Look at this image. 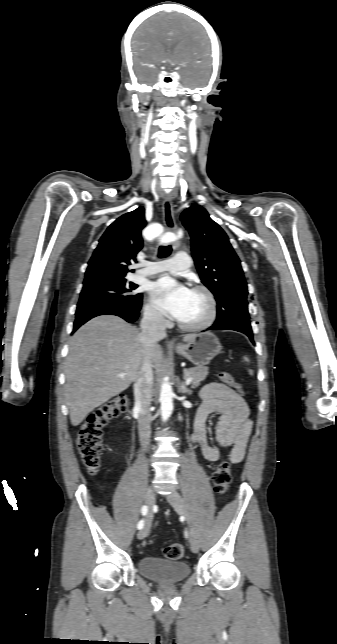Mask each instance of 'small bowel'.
I'll list each match as a JSON object with an SVG mask.
<instances>
[{
    "instance_id": "small-bowel-1",
    "label": "small bowel",
    "mask_w": 337,
    "mask_h": 644,
    "mask_svg": "<svg viewBox=\"0 0 337 644\" xmlns=\"http://www.w3.org/2000/svg\"><path fill=\"white\" fill-rule=\"evenodd\" d=\"M200 396L202 403L196 413L192 441L202 448L208 461L217 462L220 459L219 449L211 443L207 429L208 417L218 414L215 441L221 448L231 447L230 461L239 463L245 456L253 427L246 402L234 390L220 383L206 385ZM147 522L150 526L153 523L151 514L147 517Z\"/></svg>"
}]
</instances>
